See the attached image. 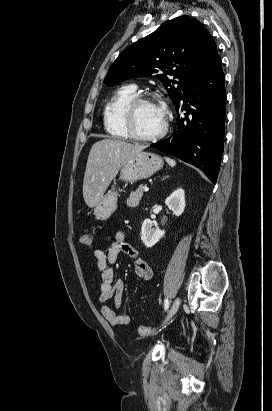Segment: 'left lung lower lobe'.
I'll list each match as a JSON object with an SVG mask.
<instances>
[{"instance_id": "1", "label": "left lung lower lobe", "mask_w": 272, "mask_h": 411, "mask_svg": "<svg viewBox=\"0 0 272 411\" xmlns=\"http://www.w3.org/2000/svg\"><path fill=\"white\" fill-rule=\"evenodd\" d=\"M225 102L218 54L175 105L177 120L172 136L151 146L198 167L216 183L223 154Z\"/></svg>"}]
</instances>
